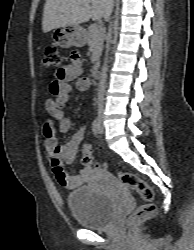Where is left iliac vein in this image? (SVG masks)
<instances>
[{"label": "left iliac vein", "instance_id": "obj_1", "mask_svg": "<svg viewBox=\"0 0 194 250\" xmlns=\"http://www.w3.org/2000/svg\"><path fill=\"white\" fill-rule=\"evenodd\" d=\"M99 133H103V125H102V118H100V128H99Z\"/></svg>", "mask_w": 194, "mask_h": 250}]
</instances>
